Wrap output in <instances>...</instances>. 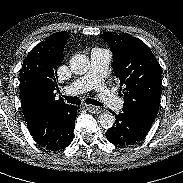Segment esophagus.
Returning <instances> with one entry per match:
<instances>
[{"label":"esophagus","mask_w":183,"mask_h":183,"mask_svg":"<svg viewBox=\"0 0 183 183\" xmlns=\"http://www.w3.org/2000/svg\"><path fill=\"white\" fill-rule=\"evenodd\" d=\"M88 111L99 114L102 112V109L100 107H96L93 105H85L84 106Z\"/></svg>","instance_id":"obj_1"}]
</instances>
